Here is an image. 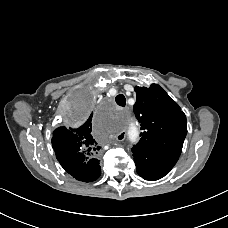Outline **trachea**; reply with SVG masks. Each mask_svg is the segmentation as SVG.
<instances>
[{
	"label": "trachea",
	"mask_w": 228,
	"mask_h": 228,
	"mask_svg": "<svg viewBox=\"0 0 228 228\" xmlns=\"http://www.w3.org/2000/svg\"><path fill=\"white\" fill-rule=\"evenodd\" d=\"M115 101L121 107H125V105H126V98L123 94L117 95L115 98Z\"/></svg>",
	"instance_id": "trachea-1"
}]
</instances>
